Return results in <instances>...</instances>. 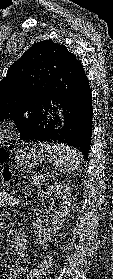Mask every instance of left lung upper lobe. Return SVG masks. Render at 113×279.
I'll use <instances>...</instances> for the list:
<instances>
[{"label": "left lung upper lobe", "instance_id": "5c2ea615", "mask_svg": "<svg viewBox=\"0 0 113 279\" xmlns=\"http://www.w3.org/2000/svg\"><path fill=\"white\" fill-rule=\"evenodd\" d=\"M65 45L45 40L30 47L0 81V121L15 122L20 136L33 124L42 94L71 56Z\"/></svg>", "mask_w": 113, "mask_h": 279}]
</instances>
